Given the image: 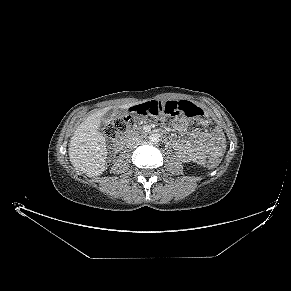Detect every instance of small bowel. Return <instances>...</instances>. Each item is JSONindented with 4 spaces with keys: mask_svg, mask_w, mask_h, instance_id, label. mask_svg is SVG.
<instances>
[{
    "mask_svg": "<svg viewBox=\"0 0 291 291\" xmlns=\"http://www.w3.org/2000/svg\"><path fill=\"white\" fill-rule=\"evenodd\" d=\"M201 125H206L199 120ZM175 131L183 136L187 133V122L184 119L173 121ZM225 140L220 129L215 128L209 132H201L190 139L181 138L175 141V149L178 157L186 162L205 164L207 158L218 160L224 150Z\"/></svg>",
    "mask_w": 291,
    "mask_h": 291,
    "instance_id": "small-bowel-1",
    "label": "small bowel"
}]
</instances>
